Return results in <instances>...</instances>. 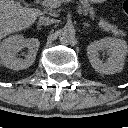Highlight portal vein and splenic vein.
<instances>
[{"label":"portal vein and splenic vein","mask_w":128,"mask_h":128,"mask_svg":"<svg viewBox=\"0 0 128 128\" xmlns=\"http://www.w3.org/2000/svg\"><path fill=\"white\" fill-rule=\"evenodd\" d=\"M74 3V0H42L40 4L44 7L48 8H57L61 5V3ZM80 13V9L78 10Z\"/></svg>","instance_id":"portal-vein-and-splenic-vein-1"}]
</instances>
